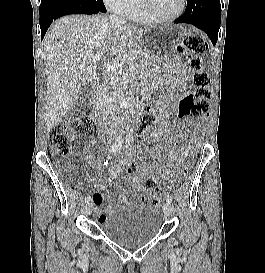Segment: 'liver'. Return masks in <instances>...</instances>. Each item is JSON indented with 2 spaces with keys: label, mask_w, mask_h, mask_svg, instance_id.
<instances>
[{
  "label": "liver",
  "mask_w": 265,
  "mask_h": 273,
  "mask_svg": "<svg viewBox=\"0 0 265 273\" xmlns=\"http://www.w3.org/2000/svg\"><path fill=\"white\" fill-rule=\"evenodd\" d=\"M143 31L134 25L111 24L101 15H69L51 25L44 37L48 131L76 105L83 86L93 82L92 58L120 57Z\"/></svg>",
  "instance_id": "6515ba94"
}]
</instances>
